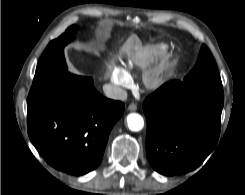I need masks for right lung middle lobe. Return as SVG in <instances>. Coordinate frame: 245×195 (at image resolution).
Returning a JSON list of instances; mask_svg holds the SVG:
<instances>
[{
    "label": "right lung middle lobe",
    "instance_id": "1",
    "mask_svg": "<svg viewBox=\"0 0 245 195\" xmlns=\"http://www.w3.org/2000/svg\"><path fill=\"white\" fill-rule=\"evenodd\" d=\"M77 26H70L59 38L51 41L45 49L36 68L33 85H39L51 78L65 74L67 66L64 47L74 39Z\"/></svg>",
    "mask_w": 245,
    "mask_h": 195
}]
</instances>
